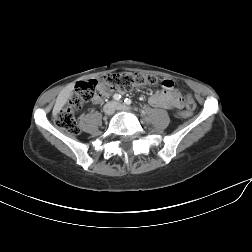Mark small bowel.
<instances>
[{"label":"small bowel","instance_id":"c3829d8e","mask_svg":"<svg viewBox=\"0 0 252 252\" xmlns=\"http://www.w3.org/2000/svg\"><path fill=\"white\" fill-rule=\"evenodd\" d=\"M165 81H170L173 83V81L170 79H165L162 82ZM162 86L165 90L153 93L148 99L149 104L153 107L163 109L183 108L184 100L179 94V92L174 88V83L171 87H165L163 83ZM112 92H113L112 90L100 87L99 93L93 99V103L95 104L101 103L105 98L109 97L112 94Z\"/></svg>","mask_w":252,"mask_h":252}]
</instances>
